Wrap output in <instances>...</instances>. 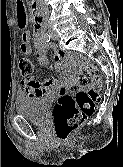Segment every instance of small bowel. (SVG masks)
I'll use <instances>...</instances> for the list:
<instances>
[{
  "mask_svg": "<svg viewBox=\"0 0 123 167\" xmlns=\"http://www.w3.org/2000/svg\"><path fill=\"white\" fill-rule=\"evenodd\" d=\"M15 5L17 9V19H19L18 24L20 27L25 28L28 24V20H26L28 17L27 7L24 5V1L22 0H15ZM43 34L41 25L36 22L34 26L35 55L39 64L46 67L50 64L48 57L49 45L43 41ZM31 38L32 35L30 31L25 30L22 33L21 52L25 56H29L33 52ZM63 57L64 53L62 51L56 52L54 56V67L56 69L61 68ZM74 85L75 83L71 77L64 80L55 77H28L21 80L22 91L25 95L48 98L54 97L55 95L61 96Z\"/></svg>",
  "mask_w": 123,
  "mask_h": 167,
  "instance_id": "small-bowel-1",
  "label": "small bowel"
}]
</instances>
